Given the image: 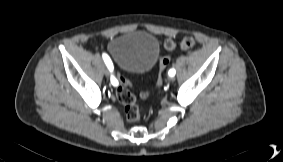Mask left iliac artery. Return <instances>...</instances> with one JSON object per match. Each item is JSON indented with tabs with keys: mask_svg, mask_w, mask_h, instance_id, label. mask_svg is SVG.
<instances>
[{
	"mask_svg": "<svg viewBox=\"0 0 283 162\" xmlns=\"http://www.w3.org/2000/svg\"><path fill=\"white\" fill-rule=\"evenodd\" d=\"M175 73H176L175 69H170L169 72H168L170 77H173L175 75Z\"/></svg>",
	"mask_w": 283,
	"mask_h": 162,
	"instance_id": "left-iliac-artery-1",
	"label": "left iliac artery"
}]
</instances>
